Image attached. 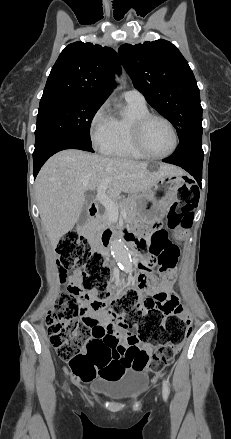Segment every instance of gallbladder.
I'll return each mask as SVG.
<instances>
[{
	"label": "gallbladder",
	"instance_id": "1",
	"mask_svg": "<svg viewBox=\"0 0 231 439\" xmlns=\"http://www.w3.org/2000/svg\"><path fill=\"white\" fill-rule=\"evenodd\" d=\"M87 204H85L84 206H83V208H82V211H81V214H80V217H79V224H83L84 223V221L86 220V218H87Z\"/></svg>",
	"mask_w": 231,
	"mask_h": 439
}]
</instances>
